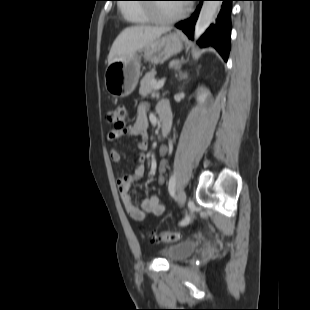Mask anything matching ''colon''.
<instances>
[{
	"mask_svg": "<svg viewBox=\"0 0 310 310\" xmlns=\"http://www.w3.org/2000/svg\"><path fill=\"white\" fill-rule=\"evenodd\" d=\"M106 120L112 124L116 130L126 129L127 108L125 105H117L107 111ZM183 233L179 230L154 233L152 240L155 242L169 243L182 238Z\"/></svg>",
	"mask_w": 310,
	"mask_h": 310,
	"instance_id": "obj_1",
	"label": "colon"
}]
</instances>
